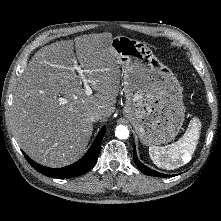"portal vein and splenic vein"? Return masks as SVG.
I'll return each mask as SVG.
<instances>
[{
    "instance_id": "obj_1",
    "label": "portal vein and splenic vein",
    "mask_w": 221,
    "mask_h": 221,
    "mask_svg": "<svg viewBox=\"0 0 221 221\" xmlns=\"http://www.w3.org/2000/svg\"><path fill=\"white\" fill-rule=\"evenodd\" d=\"M73 69L79 73L80 79L82 80V82L84 84V94L87 96H90L92 94V89L90 88V86L88 84V80H87L86 76L84 75V72L81 69V66L75 64ZM58 101L62 104L67 103V99L62 98V97H60L58 99Z\"/></svg>"
}]
</instances>
